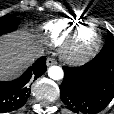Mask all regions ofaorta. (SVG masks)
Segmentation results:
<instances>
[{"label":"aorta","mask_w":114,"mask_h":114,"mask_svg":"<svg viewBox=\"0 0 114 114\" xmlns=\"http://www.w3.org/2000/svg\"><path fill=\"white\" fill-rule=\"evenodd\" d=\"M48 75L53 80H60L64 76L63 69L59 66H51L48 69Z\"/></svg>","instance_id":"obj_1"}]
</instances>
